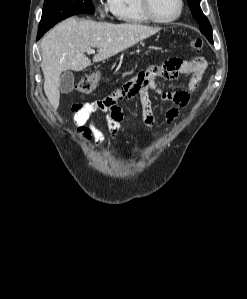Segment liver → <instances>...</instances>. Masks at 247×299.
I'll use <instances>...</instances> for the list:
<instances>
[{"label":"liver","mask_w":247,"mask_h":299,"mask_svg":"<svg viewBox=\"0 0 247 299\" xmlns=\"http://www.w3.org/2000/svg\"><path fill=\"white\" fill-rule=\"evenodd\" d=\"M160 28L139 24H113L68 18L57 24L41 41L44 92L56 110L59 106L61 73L82 71L91 64L84 52L93 47L97 63L156 34Z\"/></svg>","instance_id":"6515ba94"}]
</instances>
